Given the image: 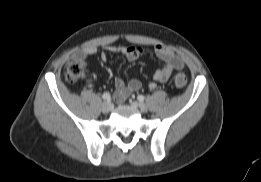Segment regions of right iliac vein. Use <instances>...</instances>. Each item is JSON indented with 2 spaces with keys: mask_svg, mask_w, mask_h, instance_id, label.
<instances>
[{
  "mask_svg": "<svg viewBox=\"0 0 261 182\" xmlns=\"http://www.w3.org/2000/svg\"><path fill=\"white\" fill-rule=\"evenodd\" d=\"M111 109H112L111 103H109V102H104V103L102 104V111H103L104 113L110 112Z\"/></svg>",
  "mask_w": 261,
  "mask_h": 182,
  "instance_id": "obj_1",
  "label": "right iliac vein"
}]
</instances>
